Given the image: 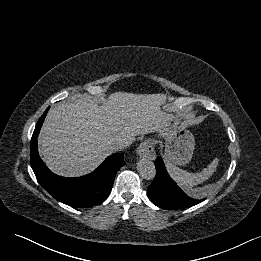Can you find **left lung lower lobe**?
Listing matches in <instances>:
<instances>
[{
    "label": "left lung lower lobe",
    "instance_id": "obj_1",
    "mask_svg": "<svg viewBox=\"0 0 261 261\" xmlns=\"http://www.w3.org/2000/svg\"><path fill=\"white\" fill-rule=\"evenodd\" d=\"M156 176L147 190L149 199L158 207L168 210L192 207L203 199L184 193L168 175L161 157L155 160Z\"/></svg>",
    "mask_w": 261,
    "mask_h": 261
}]
</instances>
